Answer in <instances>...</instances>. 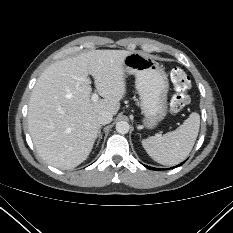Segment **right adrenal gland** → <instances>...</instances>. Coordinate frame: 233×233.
<instances>
[{
	"instance_id": "2a0ac1e0",
	"label": "right adrenal gland",
	"mask_w": 233,
	"mask_h": 233,
	"mask_svg": "<svg viewBox=\"0 0 233 233\" xmlns=\"http://www.w3.org/2000/svg\"><path fill=\"white\" fill-rule=\"evenodd\" d=\"M101 128H102V126H100V127H99V130H98V140H97V145L99 144L100 139L102 138Z\"/></svg>"
}]
</instances>
